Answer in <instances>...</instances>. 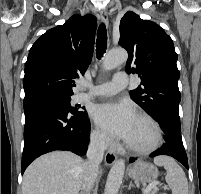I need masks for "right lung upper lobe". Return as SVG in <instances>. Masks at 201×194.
Returning <instances> with one entry per match:
<instances>
[{"label":"right lung upper lobe","instance_id":"cb5924a9","mask_svg":"<svg viewBox=\"0 0 201 194\" xmlns=\"http://www.w3.org/2000/svg\"><path fill=\"white\" fill-rule=\"evenodd\" d=\"M96 27L93 15L76 14L41 35L31 47L25 64V98L71 96L73 79L84 74L91 62Z\"/></svg>","mask_w":201,"mask_h":194}]
</instances>
